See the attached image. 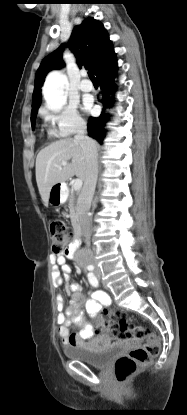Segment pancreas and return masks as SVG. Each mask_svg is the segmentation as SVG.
<instances>
[{"label": "pancreas", "mask_w": 187, "mask_h": 415, "mask_svg": "<svg viewBox=\"0 0 187 415\" xmlns=\"http://www.w3.org/2000/svg\"><path fill=\"white\" fill-rule=\"evenodd\" d=\"M75 198L73 193L71 194L70 198H69V204H68V208L70 211V218H71V222L73 226L77 225V221H78V215H77V208L75 206Z\"/></svg>", "instance_id": "cf45deb5"}]
</instances>
